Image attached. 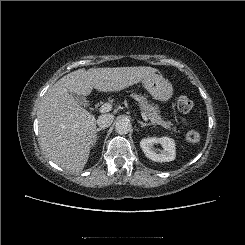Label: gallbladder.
I'll list each match as a JSON object with an SVG mask.
<instances>
[{
  "label": "gallbladder",
  "instance_id": "gallbladder-1",
  "mask_svg": "<svg viewBox=\"0 0 245 245\" xmlns=\"http://www.w3.org/2000/svg\"><path fill=\"white\" fill-rule=\"evenodd\" d=\"M71 96L77 101L78 104L84 106V107H87L88 106V100L82 96V95H78V94H75V93H71Z\"/></svg>",
  "mask_w": 245,
  "mask_h": 245
}]
</instances>
